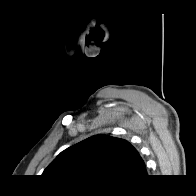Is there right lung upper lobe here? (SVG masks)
<instances>
[{"label": "right lung upper lobe", "instance_id": "cb5924a9", "mask_svg": "<svg viewBox=\"0 0 196 196\" xmlns=\"http://www.w3.org/2000/svg\"><path fill=\"white\" fill-rule=\"evenodd\" d=\"M42 176L60 183L118 186L147 176L138 151L126 140L95 135L61 152Z\"/></svg>", "mask_w": 196, "mask_h": 196}]
</instances>
